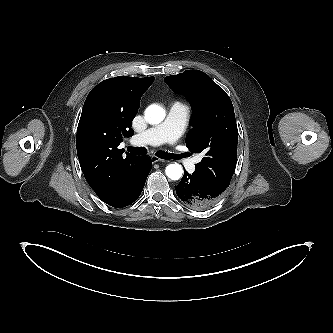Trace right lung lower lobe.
<instances>
[{"label":"right lung lower lobe","instance_id":"1","mask_svg":"<svg viewBox=\"0 0 333 333\" xmlns=\"http://www.w3.org/2000/svg\"><path fill=\"white\" fill-rule=\"evenodd\" d=\"M151 167V159L148 156H141L131 167L123 194L110 206L122 208L133 203L140 196Z\"/></svg>","mask_w":333,"mask_h":333}]
</instances>
